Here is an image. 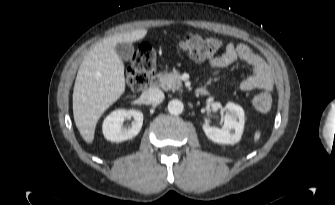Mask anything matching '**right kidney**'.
<instances>
[{"label": "right kidney", "instance_id": "obj_1", "mask_svg": "<svg viewBox=\"0 0 335 205\" xmlns=\"http://www.w3.org/2000/svg\"><path fill=\"white\" fill-rule=\"evenodd\" d=\"M133 117L134 122L129 128L123 127L126 118ZM143 113L138 110L119 109L109 114L102 125L104 137L112 142H121L135 137L141 130Z\"/></svg>", "mask_w": 335, "mask_h": 205}]
</instances>
